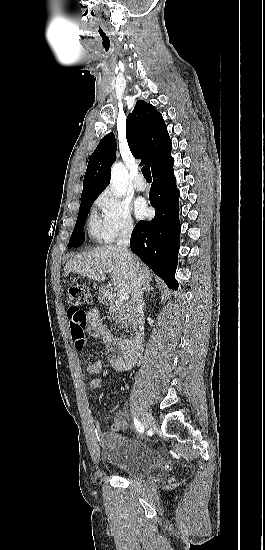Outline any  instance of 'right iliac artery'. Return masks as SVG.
Instances as JSON below:
<instances>
[{
    "instance_id": "obj_1",
    "label": "right iliac artery",
    "mask_w": 265,
    "mask_h": 550,
    "mask_svg": "<svg viewBox=\"0 0 265 550\" xmlns=\"http://www.w3.org/2000/svg\"><path fill=\"white\" fill-rule=\"evenodd\" d=\"M134 424H135V427L137 428V430H138L140 433H144V427H143V425H142L136 418H134Z\"/></svg>"
}]
</instances>
